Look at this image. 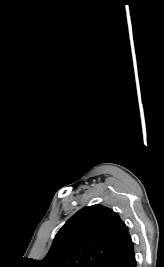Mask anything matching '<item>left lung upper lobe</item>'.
I'll return each instance as SVG.
<instances>
[{
    "label": "left lung upper lobe",
    "instance_id": "left-lung-upper-lobe-1",
    "mask_svg": "<svg viewBox=\"0 0 164 267\" xmlns=\"http://www.w3.org/2000/svg\"><path fill=\"white\" fill-rule=\"evenodd\" d=\"M112 209L84 207L56 234L41 267H101L127 232Z\"/></svg>",
    "mask_w": 164,
    "mask_h": 267
}]
</instances>
